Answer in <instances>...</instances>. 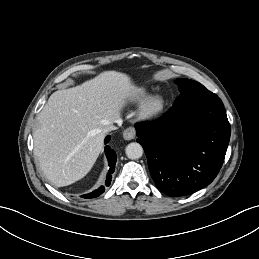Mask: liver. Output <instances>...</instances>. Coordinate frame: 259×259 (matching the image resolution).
Listing matches in <instances>:
<instances>
[{"instance_id": "1", "label": "liver", "mask_w": 259, "mask_h": 259, "mask_svg": "<svg viewBox=\"0 0 259 259\" xmlns=\"http://www.w3.org/2000/svg\"><path fill=\"white\" fill-rule=\"evenodd\" d=\"M138 91L128 75L105 71L49 97L33 139L34 154L52 184L68 186L91 170L103 148V128L119 121Z\"/></svg>"}]
</instances>
